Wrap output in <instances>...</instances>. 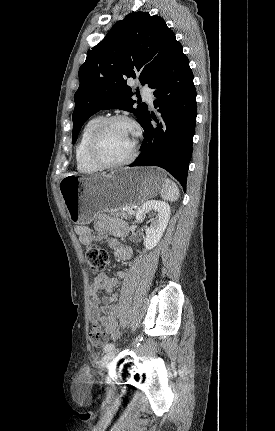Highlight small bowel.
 Here are the masks:
<instances>
[{
  "mask_svg": "<svg viewBox=\"0 0 275 431\" xmlns=\"http://www.w3.org/2000/svg\"><path fill=\"white\" fill-rule=\"evenodd\" d=\"M94 229L98 234V240H101L106 234L113 236L109 240V246L118 259L127 261L132 257L131 247L118 240V238H123L127 235L128 228L124 222L102 216L95 221ZM75 232L79 236L80 242L84 245H90L95 239L93 230L88 226L77 225ZM118 276L120 278L126 277L127 271H120ZM117 282V278L101 273L94 278L90 286L89 319L92 323H99L112 339H116L120 335L118 324L121 306L117 302L118 294L114 293L104 298H100L98 294L101 291L112 293Z\"/></svg>",
  "mask_w": 275,
  "mask_h": 431,
  "instance_id": "small-bowel-1",
  "label": "small bowel"
}]
</instances>
